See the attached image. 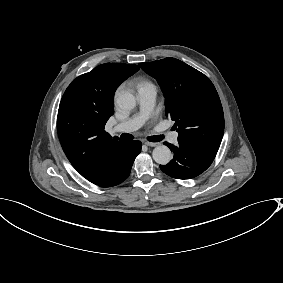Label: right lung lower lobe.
<instances>
[{"label": "right lung lower lobe", "instance_id": "right-lung-lower-lobe-1", "mask_svg": "<svg viewBox=\"0 0 283 283\" xmlns=\"http://www.w3.org/2000/svg\"><path fill=\"white\" fill-rule=\"evenodd\" d=\"M141 146L140 141H128L114 160L105 163L95 174L85 178L100 187H112L122 183L128 178Z\"/></svg>", "mask_w": 283, "mask_h": 283}]
</instances>
